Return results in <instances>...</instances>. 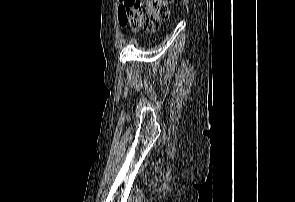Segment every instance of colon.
Wrapping results in <instances>:
<instances>
[{"label":"colon","mask_w":295,"mask_h":202,"mask_svg":"<svg viewBox=\"0 0 295 202\" xmlns=\"http://www.w3.org/2000/svg\"><path fill=\"white\" fill-rule=\"evenodd\" d=\"M121 9L123 25L134 32H155L161 21L169 16V6L174 0H125Z\"/></svg>","instance_id":"5ec220e1"}]
</instances>
